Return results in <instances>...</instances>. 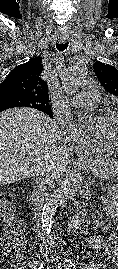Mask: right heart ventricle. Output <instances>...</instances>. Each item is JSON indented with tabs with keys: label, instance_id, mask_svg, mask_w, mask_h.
<instances>
[{
	"label": "right heart ventricle",
	"instance_id": "right-heart-ventricle-1",
	"mask_svg": "<svg viewBox=\"0 0 118 269\" xmlns=\"http://www.w3.org/2000/svg\"><path fill=\"white\" fill-rule=\"evenodd\" d=\"M106 147L101 146V145H95V147L93 148V150H101V149H105Z\"/></svg>",
	"mask_w": 118,
	"mask_h": 269
}]
</instances>
